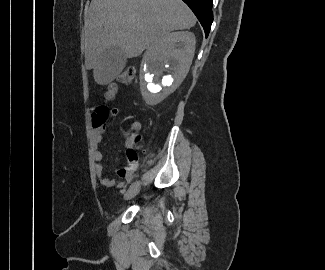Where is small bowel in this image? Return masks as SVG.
<instances>
[{"mask_svg":"<svg viewBox=\"0 0 325 270\" xmlns=\"http://www.w3.org/2000/svg\"><path fill=\"white\" fill-rule=\"evenodd\" d=\"M119 114L118 108H111L109 109L107 103H96L95 104V111L92 117V128H91V142L93 148V158L95 161V173L99 180V182L105 187H113L116 186L117 188L121 189L124 186L123 181H115L110 178L103 176L101 161L103 159V154L99 149V144L102 142L103 139V132L105 130V122L109 121V118L117 117ZM139 130V125H133V131L136 132ZM133 135L127 138L126 140V160L127 165L125 167L119 168L117 170V175L119 178L126 182H131L133 180V172L137 168L138 159L131 163V155L132 151H136L133 143ZM137 152V151H136ZM138 154V153H137Z\"/></svg>","mask_w":325,"mask_h":270,"instance_id":"obj_1","label":"small bowel"}]
</instances>
